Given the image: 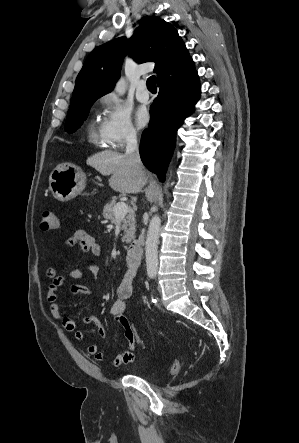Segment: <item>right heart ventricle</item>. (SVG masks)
I'll return each instance as SVG.
<instances>
[{"label": "right heart ventricle", "mask_w": 299, "mask_h": 443, "mask_svg": "<svg viewBox=\"0 0 299 443\" xmlns=\"http://www.w3.org/2000/svg\"><path fill=\"white\" fill-rule=\"evenodd\" d=\"M89 139L97 146H105V142L101 135L100 129H97L94 125L91 126L89 131Z\"/></svg>", "instance_id": "1"}]
</instances>
